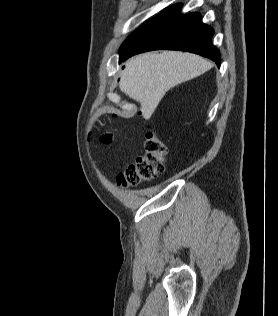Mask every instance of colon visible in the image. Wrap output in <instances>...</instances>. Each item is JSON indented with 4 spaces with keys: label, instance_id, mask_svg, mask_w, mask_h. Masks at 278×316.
Segmentation results:
<instances>
[{
    "label": "colon",
    "instance_id": "5ec220e1",
    "mask_svg": "<svg viewBox=\"0 0 278 316\" xmlns=\"http://www.w3.org/2000/svg\"><path fill=\"white\" fill-rule=\"evenodd\" d=\"M104 144H111L113 135L109 132L100 137ZM145 153L117 176V183L122 187L136 186L157 177L164 170V157L167 147L154 132H148L144 142Z\"/></svg>",
    "mask_w": 278,
    "mask_h": 316
}]
</instances>
